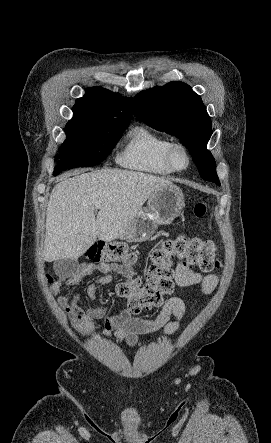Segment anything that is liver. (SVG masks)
I'll return each instance as SVG.
<instances>
[{"label":"liver","mask_w":271,"mask_h":443,"mask_svg":"<svg viewBox=\"0 0 271 443\" xmlns=\"http://www.w3.org/2000/svg\"><path fill=\"white\" fill-rule=\"evenodd\" d=\"M170 184L151 174L111 168L80 176L64 174L46 210L44 259H77L97 237L103 241L121 237L153 192ZM95 204H101L97 218Z\"/></svg>","instance_id":"1"}]
</instances>
